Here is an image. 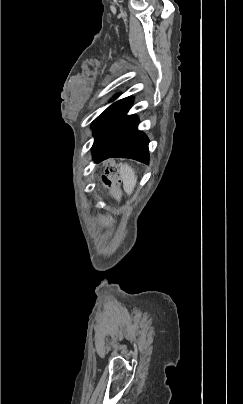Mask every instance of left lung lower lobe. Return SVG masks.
<instances>
[{
    "mask_svg": "<svg viewBox=\"0 0 243 404\" xmlns=\"http://www.w3.org/2000/svg\"><path fill=\"white\" fill-rule=\"evenodd\" d=\"M132 103V97L123 99L103 113L94 124L92 152L96 162L117 157L149 163V140L137 129L138 118L126 115Z\"/></svg>",
    "mask_w": 243,
    "mask_h": 404,
    "instance_id": "1",
    "label": "left lung lower lobe"
}]
</instances>
